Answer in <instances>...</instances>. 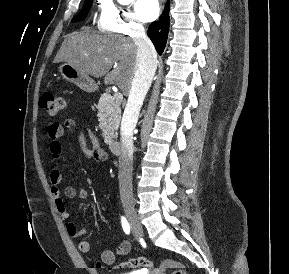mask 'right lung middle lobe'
I'll return each instance as SVG.
<instances>
[{
	"label": "right lung middle lobe",
	"mask_w": 289,
	"mask_h": 274,
	"mask_svg": "<svg viewBox=\"0 0 289 274\" xmlns=\"http://www.w3.org/2000/svg\"><path fill=\"white\" fill-rule=\"evenodd\" d=\"M92 5V0H85L84 6L81 12L73 19V22L82 21L86 18Z\"/></svg>",
	"instance_id": "right-lung-middle-lobe-1"
}]
</instances>
